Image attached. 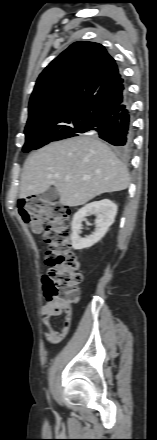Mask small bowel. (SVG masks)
Listing matches in <instances>:
<instances>
[{"mask_svg": "<svg viewBox=\"0 0 157 440\" xmlns=\"http://www.w3.org/2000/svg\"><path fill=\"white\" fill-rule=\"evenodd\" d=\"M41 311L44 315V324L48 328V332L46 333V337L49 341L57 343L60 342L68 333L70 328V319L66 320L64 318L62 322V326L60 330H56L52 327L51 318L55 317L51 311L49 304H45L42 306Z\"/></svg>", "mask_w": 157, "mask_h": 440, "instance_id": "1", "label": "small bowel"}]
</instances>
